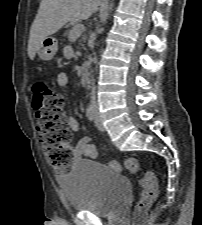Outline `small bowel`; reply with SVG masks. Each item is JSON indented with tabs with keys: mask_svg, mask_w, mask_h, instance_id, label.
<instances>
[{
	"mask_svg": "<svg viewBox=\"0 0 202 225\" xmlns=\"http://www.w3.org/2000/svg\"><path fill=\"white\" fill-rule=\"evenodd\" d=\"M70 79V75L66 72H61L57 76V84L60 87H65ZM67 124L71 132H78L80 130L79 121L75 117H68ZM76 159H96L97 151L91 144L89 137L81 138L75 147Z\"/></svg>",
	"mask_w": 202,
	"mask_h": 225,
	"instance_id": "1",
	"label": "small bowel"
}]
</instances>
